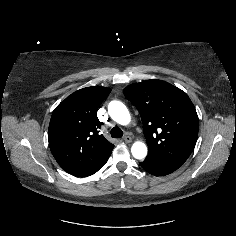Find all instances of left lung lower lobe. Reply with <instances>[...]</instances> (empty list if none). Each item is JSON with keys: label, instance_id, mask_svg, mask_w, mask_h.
Segmentation results:
<instances>
[{"label": "left lung lower lobe", "instance_id": "left-lung-lower-lobe-1", "mask_svg": "<svg viewBox=\"0 0 236 236\" xmlns=\"http://www.w3.org/2000/svg\"><path fill=\"white\" fill-rule=\"evenodd\" d=\"M139 164L143 169L155 176L168 175L183 165L182 162H165L149 158H146L143 162H140Z\"/></svg>", "mask_w": 236, "mask_h": 236}]
</instances>
